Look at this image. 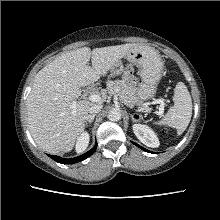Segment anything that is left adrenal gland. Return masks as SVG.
<instances>
[{"mask_svg": "<svg viewBox=\"0 0 220 220\" xmlns=\"http://www.w3.org/2000/svg\"><path fill=\"white\" fill-rule=\"evenodd\" d=\"M130 116H131L132 120L134 121L133 115L131 114Z\"/></svg>", "mask_w": 220, "mask_h": 220, "instance_id": "left-adrenal-gland-1", "label": "left adrenal gland"}]
</instances>
